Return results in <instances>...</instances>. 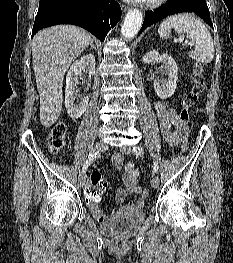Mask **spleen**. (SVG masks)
<instances>
[{
  "mask_svg": "<svg viewBox=\"0 0 233 263\" xmlns=\"http://www.w3.org/2000/svg\"><path fill=\"white\" fill-rule=\"evenodd\" d=\"M172 29L179 34L186 33L187 38L195 44V50L188 53L190 58L203 64L213 61V39L200 19L191 13L172 15L160 24L158 29L159 36L162 39H168Z\"/></svg>",
  "mask_w": 233,
  "mask_h": 263,
  "instance_id": "spleen-1",
  "label": "spleen"
}]
</instances>
